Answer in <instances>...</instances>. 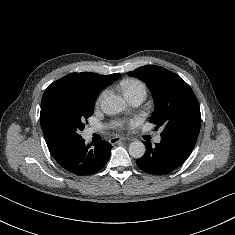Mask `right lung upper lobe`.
Here are the masks:
<instances>
[{"instance_id": "obj_1", "label": "right lung upper lobe", "mask_w": 235, "mask_h": 235, "mask_svg": "<svg viewBox=\"0 0 235 235\" xmlns=\"http://www.w3.org/2000/svg\"><path fill=\"white\" fill-rule=\"evenodd\" d=\"M118 77H119L118 73L111 75H99L91 72L70 73L62 77L61 79L51 83L46 88L41 101V113L46 101L49 99L51 95H53L56 92L79 88L87 91L96 92L99 94L102 88L113 83ZM44 137L51 154L58 152L62 147L65 146V145L53 144L45 134Z\"/></svg>"}]
</instances>
